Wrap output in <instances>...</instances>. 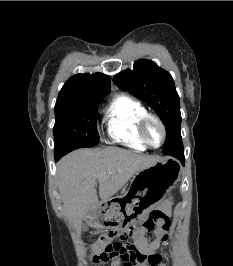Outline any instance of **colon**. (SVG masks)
<instances>
[{"mask_svg":"<svg viewBox=\"0 0 233 266\" xmlns=\"http://www.w3.org/2000/svg\"><path fill=\"white\" fill-rule=\"evenodd\" d=\"M161 224L163 228H167L170 224L169 217L161 210L152 211L142 225V229L146 232L154 230L157 224ZM127 227H129L127 225ZM135 228H130V232H113L110 231L102 235L99 239L105 242L104 257L108 259H120L124 266H137L142 264L146 257L139 253L135 243L131 240ZM156 259L150 258L152 263Z\"/></svg>","mask_w":233,"mask_h":266,"instance_id":"1","label":"colon"}]
</instances>
